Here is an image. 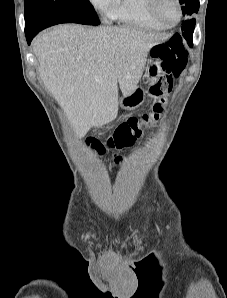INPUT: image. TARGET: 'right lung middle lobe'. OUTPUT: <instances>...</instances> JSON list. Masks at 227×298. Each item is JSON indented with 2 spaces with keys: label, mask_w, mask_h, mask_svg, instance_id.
Returning a JSON list of instances; mask_svg holds the SVG:
<instances>
[{
  "label": "right lung middle lobe",
  "mask_w": 227,
  "mask_h": 298,
  "mask_svg": "<svg viewBox=\"0 0 227 298\" xmlns=\"http://www.w3.org/2000/svg\"><path fill=\"white\" fill-rule=\"evenodd\" d=\"M60 23L99 25L89 0H25V33Z\"/></svg>",
  "instance_id": "obj_1"
}]
</instances>
